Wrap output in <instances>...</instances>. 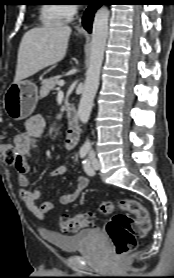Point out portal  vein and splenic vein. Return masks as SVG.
I'll return each instance as SVG.
<instances>
[{
  "mask_svg": "<svg viewBox=\"0 0 174 278\" xmlns=\"http://www.w3.org/2000/svg\"><path fill=\"white\" fill-rule=\"evenodd\" d=\"M58 85H59V87H62L64 85V81H59Z\"/></svg>",
  "mask_w": 174,
  "mask_h": 278,
  "instance_id": "1",
  "label": "portal vein and splenic vein"
}]
</instances>
